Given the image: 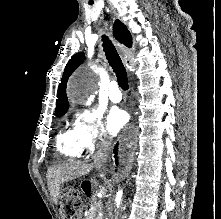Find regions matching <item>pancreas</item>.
I'll return each mask as SVG.
<instances>
[{
  "label": "pancreas",
  "mask_w": 221,
  "mask_h": 219,
  "mask_svg": "<svg viewBox=\"0 0 221 219\" xmlns=\"http://www.w3.org/2000/svg\"><path fill=\"white\" fill-rule=\"evenodd\" d=\"M85 219H99L97 217V208L92 206L88 211Z\"/></svg>",
  "instance_id": "cf45deb5"
}]
</instances>
